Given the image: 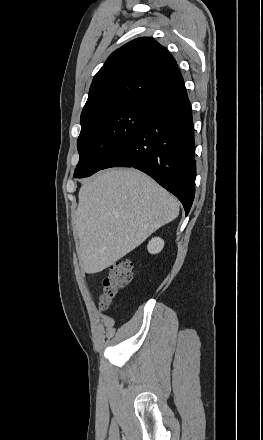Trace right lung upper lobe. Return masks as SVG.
<instances>
[{
	"label": "right lung upper lobe",
	"instance_id": "cb5924a9",
	"mask_svg": "<svg viewBox=\"0 0 263 440\" xmlns=\"http://www.w3.org/2000/svg\"><path fill=\"white\" fill-rule=\"evenodd\" d=\"M182 85L173 56L157 41L137 38L114 51L95 75L80 121L123 104H152Z\"/></svg>",
	"mask_w": 263,
	"mask_h": 440
}]
</instances>
